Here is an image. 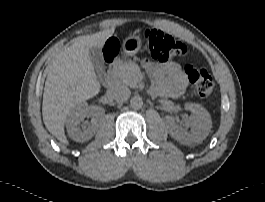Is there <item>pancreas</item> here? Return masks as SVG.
<instances>
[{
    "label": "pancreas",
    "mask_w": 265,
    "mask_h": 202,
    "mask_svg": "<svg viewBox=\"0 0 265 202\" xmlns=\"http://www.w3.org/2000/svg\"><path fill=\"white\" fill-rule=\"evenodd\" d=\"M118 82L135 88L139 82L140 68L134 62H117L113 68Z\"/></svg>",
    "instance_id": "cf45deb5"
}]
</instances>
